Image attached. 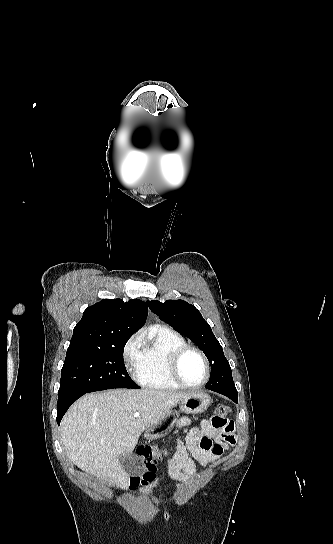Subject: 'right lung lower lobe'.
<instances>
[{
  "mask_svg": "<svg viewBox=\"0 0 333 544\" xmlns=\"http://www.w3.org/2000/svg\"><path fill=\"white\" fill-rule=\"evenodd\" d=\"M87 392H74V391H66V392H58V403H57V423L60 424V421L62 417L64 416L65 412L68 410V408L82 395H84Z\"/></svg>",
  "mask_w": 333,
  "mask_h": 544,
  "instance_id": "obj_1",
  "label": "right lung lower lobe"
}]
</instances>
